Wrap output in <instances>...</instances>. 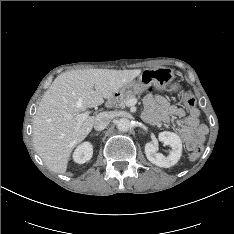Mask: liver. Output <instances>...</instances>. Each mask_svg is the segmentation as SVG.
<instances>
[{
    "label": "liver",
    "instance_id": "6515ba94",
    "mask_svg": "<svg viewBox=\"0 0 234 234\" xmlns=\"http://www.w3.org/2000/svg\"><path fill=\"white\" fill-rule=\"evenodd\" d=\"M140 73V69H83L67 71L53 81L33 118L34 147L50 170L65 173L73 148L94 126L95 117L78 123L75 116L101 105Z\"/></svg>",
    "mask_w": 234,
    "mask_h": 234
}]
</instances>
